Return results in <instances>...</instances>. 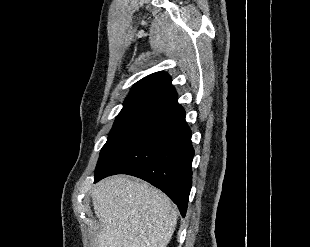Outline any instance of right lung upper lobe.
<instances>
[{"mask_svg":"<svg viewBox=\"0 0 310 247\" xmlns=\"http://www.w3.org/2000/svg\"><path fill=\"white\" fill-rule=\"evenodd\" d=\"M177 103V93L170 76L165 72H156L132 87L123 109L147 108L160 113Z\"/></svg>","mask_w":310,"mask_h":247,"instance_id":"1","label":"right lung upper lobe"}]
</instances>
